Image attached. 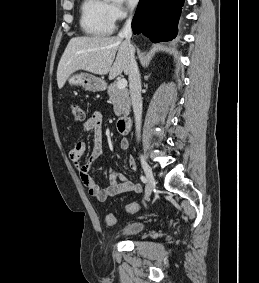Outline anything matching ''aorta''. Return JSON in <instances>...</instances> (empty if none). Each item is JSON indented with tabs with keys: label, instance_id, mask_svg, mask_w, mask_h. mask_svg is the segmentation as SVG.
Masks as SVG:
<instances>
[{
	"label": "aorta",
	"instance_id": "1",
	"mask_svg": "<svg viewBox=\"0 0 259 283\" xmlns=\"http://www.w3.org/2000/svg\"><path fill=\"white\" fill-rule=\"evenodd\" d=\"M106 2H110V1H113V2H122L123 0H105Z\"/></svg>",
	"mask_w": 259,
	"mask_h": 283
}]
</instances>
